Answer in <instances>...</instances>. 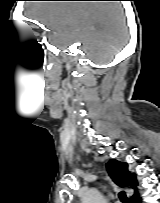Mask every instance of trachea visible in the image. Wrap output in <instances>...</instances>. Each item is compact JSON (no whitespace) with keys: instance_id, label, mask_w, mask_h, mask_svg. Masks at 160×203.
<instances>
[{"instance_id":"obj_1","label":"trachea","mask_w":160,"mask_h":203,"mask_svg":"<svg viewBox=\"0 0 160 203\" xmlns=\"http://www.w3.org/2000/svg\"><path fill=\"white\" fill-rule=\"evenodd\" d=\"M118 196H119L122 203H130V201L127 198L125 192H123V191L119 192Z\"/></svg>"}]
</instances>
